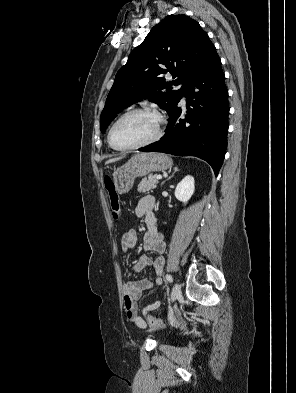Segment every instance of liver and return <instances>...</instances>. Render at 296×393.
<instances>
[{"mask_svg":"<svg viewBox=\"0 0 296 393\" xmlns=\"http://www.w3.org/2000/svg\"><path fill=\"white\" fill-rule=\"evenodd\" d=\"M121 158H122V157H117V158L109 159L108 161H106V164L116 162V161L120 160Z\"/></svg>","mask_w":296,"mask_h":393,"instance_id":"6515ba94","label":"liver"}]
</instances>
